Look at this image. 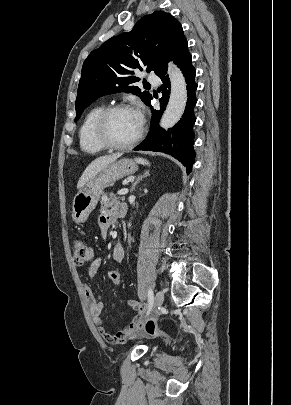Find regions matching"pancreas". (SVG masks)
<instances>
[{"label": "pancreas", "instance_id": "1", "mask_svg": "<svg viewBox=\"0 0 291 405\" xmlns=\"http://www.w3.org/2000/svg\"><path fill=\"white\" fill-rule=\"evenodd\" d=\"M120 200H124V197H116L114 193H110L109 196H107V194H104L101 200V209L105 210L111 208Z\"/></svg>", "mask_w": 291, "mask_h": 405}]
</instances>
